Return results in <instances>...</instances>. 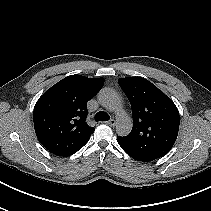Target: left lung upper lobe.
Returning <instances> with one entry per match:
<instances>
[{"mask_svg": "<svg viewBox=\"0 0 211 211\" xmlns=\"http://www.w3.org/2000/svg\"><path fill=\"white\" fill-rule=\"evenodd\" d=\"M118 82L130 101L133 116L132 131L121 137V147L153 159L164 156L178 135L180 118L176 105L144 78H120Z\"/></svg>", "mask_w": 211, "mask_h": 211, "instance_id": "1", "label": "left lung upper lobe"}]
</instances>
